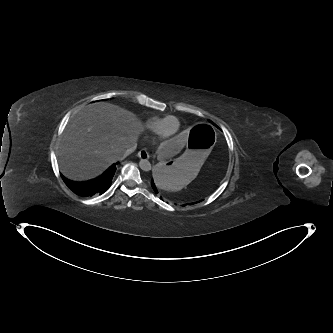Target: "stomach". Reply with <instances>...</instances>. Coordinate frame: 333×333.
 <instances>
[{
    "instance_id": "0dacf381",
    "label": "stomach",
    "mask_w": 333,
    "mask_h": 333,
    "mask_svg": "<svg viewBox=\"0 0 333 333\" xmlns=\"http://www.w3.org/2000/svg\"><path fill=\"white\" fill-rule=\"evenodd\" d=\"M217 134L210 124L197 123L191 129L187 151L170 162L159 161L150 170L151 178L159 189L172 192L184 188L194 180L198 169L216 144Z\"/></svg>"
}]
</instances>
